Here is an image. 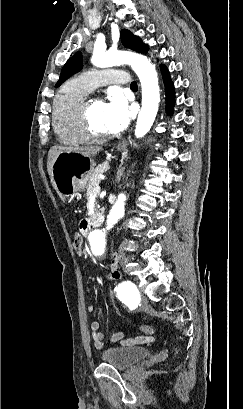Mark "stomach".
Here are the masks:
<instances>
[{"label": "stomach", "mask_w": 243, "mask_h": 409, "mask_svg": "<svg viewBox=\"0 0 243 409\" xmlns=\"http://www.w3.org/2000/svg\"><path fill=\"white\" fill-rule=\"evenodd\" d=\"M122 150L125 148L122 147ZM92 159L74 151H63L55 158L53 182L62 196H71L85 190L89 177L94 170Z\"/></svg>", "instance_id": "0dacf381"}]
</instances>
